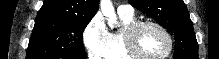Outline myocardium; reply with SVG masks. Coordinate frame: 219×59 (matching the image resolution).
Returning <instances> with one entry per match:
<instances>
[{"label":"myocardium","mask_w":219,"mask_h":59,"mask_svg":"<svg viewBox=\"0 0 219 59\" xmlns=\"http://www.w3.org/2000/svg\"><path fill=\"white\" fill-rule=\"evenodd\" d=\"M145 26H153L159 31H161L168 41V50L167 52L159 57H147L144 56L138 49L137 46V36L139 31ZM124 41L126 51L134 58V59H167L171 56L174 48V40L170 34V32L160 23L153 20H137L128 27L125 28L124 31Z\"/></svg>","instance_id":"1"}]
</instances>
